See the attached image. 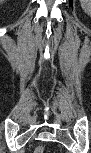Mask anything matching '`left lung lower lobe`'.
Segmentation results:
<instances>
[{
    "label": "left lung lower lobe",
    "mask_w": 91,
    "mask_h": 153,
    "mask_svg": "<svg viewBox=\"0 0 91 153\" xmlns=\"http://www.w3.org/2000/svg\"><path fill=\"white\" fill-rule=\"evenodd\" d=\"M69 2H70V5H72V0H69Z\"/></svg>",
    "instance_id": "1"
}]
</instances>
